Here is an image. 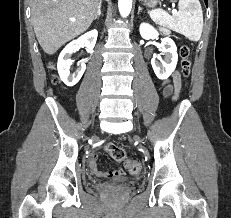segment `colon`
<instances>
[{
  "mask_svg": "<svg viewBox=\"0 0 231 218\" xmlns=\"http://www.w3.org/2000/svg\"><path fill=\"white\" fill-rule=\"evenodd\" d=\"M180 57H181V72L184 77H188L191 70V51L187 45H183L180 48ZM52 68V66H51ZM53 81L57 82V77H53ZM105 151L116 161L123 162L126 170L132 174L137 175L142 170V165L139 161L128 159L126 156L125 150L114 144V143H106L104 145Z\"/></svg>",
  "mask_w": 231,
  "mask_h": 218,
  "instance_id": "5ec220e1",
  "label": "colon"
}]
</instances>
